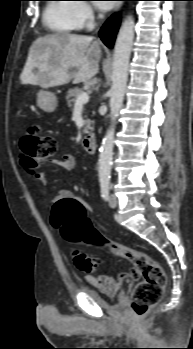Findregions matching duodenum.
<instances>
[{
    "label": "duodenum",
    "instance_id": "1",
    "mask_svg": "<svg viewBox=\"0 0 193 349\" xmlns=\"http://www.w3.org/2000/svg\"><path fill=\"white\" fill-rule=\"evenodd\" d=\"M97 149V139L96 137L88 133L84 136L83 142H82V152L90 155L93 154Z\"/></svg>",
    "mask_w": 193,
    "mask_h": 349
}]
</instances>
